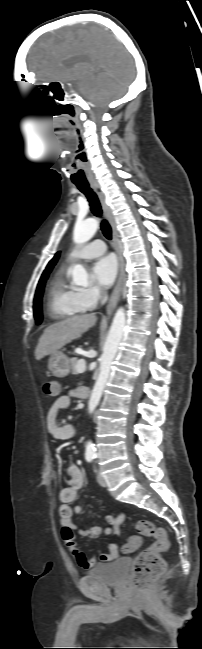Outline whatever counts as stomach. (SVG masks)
Segmentation results:
<instances>
[{"instance_id":"obj_1","label":"stomach","mask_w":202,"mask_h":649,"mask_svg":"<svg viewBox=\"0 0 202 649\" xmlns=\"http://www.w3.org/2000/svg\"><path fill=\"white\" fill-rule=\"evenodd\" d=\"M70 360L62 352L52 354L48 361V369L57 378H64L70 372Z\"/></svg>"}]
</instances>
